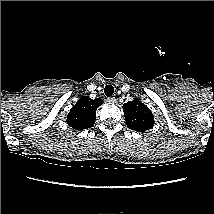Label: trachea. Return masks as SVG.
Returning <instances> with one entry per match:
<instances>
[{
  "label": "trachea",
  "instance_id": "trachea-1",
  "mask_svg": "<svg viewBox=\"0 0 214 214\" xmlns=\"http://www.w3.org/2000/svg\"><path fill=\"white\" fill-rule=\"evenodd\" d=\"M104 93L107 97H110L114 93V87L112 85H106L104 88Z\"/></svg>",
  "mask_w": 214,
  "mask_h": 214
}]
</instances>
